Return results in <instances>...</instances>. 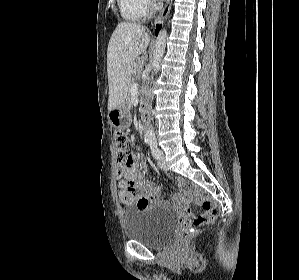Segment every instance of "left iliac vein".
Here are the masks:
<instances>
[{
    "instance_id": "obj_1",
    "label": "left iliac vein",
    "mask_w": 299,
    "mask_h": 280,
    "mask_svg": "<svg viewBox=\"0 0 299 280\" xmlns=\"http://www.w3.org/2000/svg\"><path fill=\"white\" fill-rule=\"evenodd\" d=\"M161 152H162V151H161ZM158 166H159L162 170H165V171L168 170V166H167V163H166V160H165V156H164L163 153H162V157L158 160Z\"/></svg>"
}]
</instances>
